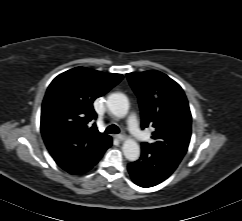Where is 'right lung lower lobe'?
I'll return each mask as SVG.
<instances>
[{"instance_id":"1","label":"right lung lower lobe","mask_w":242,"mask_h":221,"mask_svg":"<svg viewBox=\"0 0 242 221\" xmlns=\"http://www.w3.org/2000/svg\"><path fill=\"white\" fill-rule=\"evenodd\" d=\"M111 144H112V140L110 139V141H109L107 147L104 149V151L101 154L97 155L94 159H92V162L90 163L89 167H87L86 169L79 171V172H74L75 170H70V169H67V168H65L64 170H66L67 172H69L70 174H73V175L82 174V173L87 172L100 160L103 153L106 151V149H108L111 146Z\"/></svg>"}]
</instances>
